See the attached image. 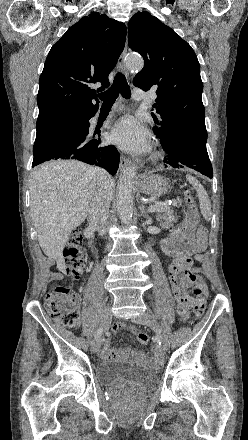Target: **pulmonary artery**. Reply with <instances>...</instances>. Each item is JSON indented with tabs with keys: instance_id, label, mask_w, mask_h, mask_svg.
<instances>
[{
	"instance_id": "e3ab8cb5",
	"label": "pulmonary artery",
	"mask_w": 248,
	"mask_h": 440,
	"mask_svg": "<svg viewBox=\"0 0 248 440\" xmlns=\"http://www.w3.org/2000/svg\"><path fill=\"white\" fill-rule=\"evenodd\" d=\"M145 92L139 88H136L133 92V97L135 100H143L145 99Z\"/></svg>"
}]
</instances>
